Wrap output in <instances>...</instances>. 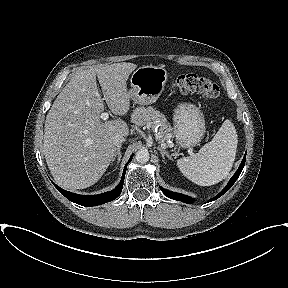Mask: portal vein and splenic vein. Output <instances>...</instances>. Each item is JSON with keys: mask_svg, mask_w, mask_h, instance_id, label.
I'll return each mask as SVG.
<instances>
[{"mask_svg": "<svg viewBox=\"0 0 288 288\" xmlns=\"http://www.w3.org/2000/svg\"><path fill=\"white\" fill-rule=\"evenodd\" d=\"M100 117L102 120L105 121L109 118V114H108V112H103Z\"/></svg>", "mask_w": 288, "mask_h": 288, "instance_id": "portal-vein-and-splenic-vein-1", "label": "portal vein and splenic vein"}]
</instances>
